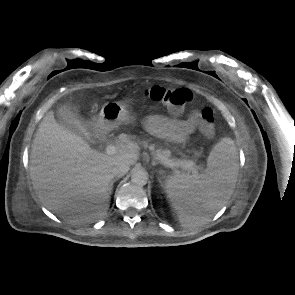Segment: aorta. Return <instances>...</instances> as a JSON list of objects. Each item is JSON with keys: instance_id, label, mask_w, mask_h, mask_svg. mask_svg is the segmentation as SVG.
Masks as SVG:
<instances>
[{"instance_id": "1", "label": "aorta", "mask_w": 295, "mask_h": 295, "mask_svg": "<svg viewBox=\"0 0 295 295\" xmlns=\"http://www.w3.org/2000/svg\"><path fill=\"white\" fill-rule=\"evenodd\" d=\"M148 180V173L143 169H138L133 172L131 176V181L135 185L144 186Z\"/></svg>"}]
</instances>
